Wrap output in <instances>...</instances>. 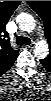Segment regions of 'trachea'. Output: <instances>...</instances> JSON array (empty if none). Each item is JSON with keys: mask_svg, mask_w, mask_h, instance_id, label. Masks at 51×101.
<instances>
[{"mask_svg": "<svg viewBox=\"0 0 51 101\" xmlns=\"http://www.w3.org/2000/svg\"><path fill=\"white\" fill-rule=\"evenodd\" d=\"M16 43L17 45H29L31 43V40L28 37H24V36H18L16 38Z\"/></svg>", "mask_w": 51, "mask_h": 101, "instance_id": "1", "label": "trachea"}]
</instances>
